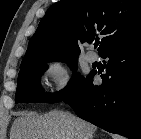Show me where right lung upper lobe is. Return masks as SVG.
I'll use <instances>...</instances> for the list:
<instances>
[{
	"mask_svg": "<svg viewBox=\"0 0 141 139\" xmlns=\"http://www.w3.org/2000/svg\"><path fill=\"white\" fill-rule=\"evenodd\" d=\"M103 36L99 55L141 37V0H61L29 42L21 68L77 58L80 45Z\"/></svg>",
	"mask_w": 141,
	"mask_h": 139,
	"instance_id": "cb5924a9",
	"label": "right lung upper lobe"
}]
</instances>
